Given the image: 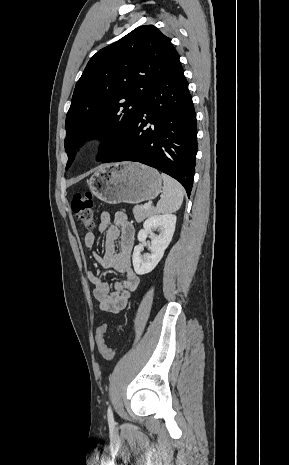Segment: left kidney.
Here are the masks:
<instances>
[{
  "instance_id": "left-kidney-1",
  "label": "left kidney",
  "mask_w": 289,
  "mask_h": 465,
  "mask_svg": "<svg viewBox=\"0 0 289 465\" xmlns=\"http://www.w3.org/2000/svg\"><path fill=\"white\" fill-rule=\"evenodd\" d=\"M176 225V216L173 214L152 215L143 224L138 233L139 245L134 247L132 261L135 272L144 275L151 272L160 262L165 249L170 244ZM157 230L158 234H154ZM151 236V253L141 254L146 238Z\"/></svg>"
}]
</instances>
